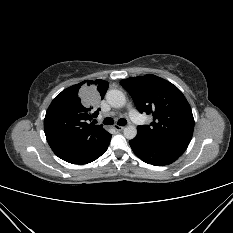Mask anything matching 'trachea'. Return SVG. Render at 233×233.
<instances>
[{
  "mask_svg": "<svg viewBox=\"0 0 233 233\" xmlns=\"http://www.w3.org/2000/svg\"><path fill=\"white\" fill-rule=\"evenodd\" d=\"M113 119L111 118V117H107V118H105L104 119V121H103V123L105 124V125H111V124H113ZM127 124V121H126V119H123V118H121V119H119L118 120V125L119 126H125Z\"/></svg>",
  "mask_w": 233,
  "mask_h": 233,
  "instance_id": "1",
  "label": "trachea"
}]
</instances>
